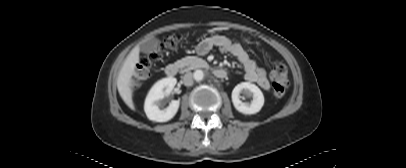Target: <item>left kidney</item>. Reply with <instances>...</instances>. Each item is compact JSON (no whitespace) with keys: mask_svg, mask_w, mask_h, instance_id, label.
<instances>
[{"mask_svg":"<svg viewBox=\"0 0 406 168\" xmlns=\"http://www.w3.org/2000/svg\"><path fill=\"white\" fill-rule=\"evenodd\" d=\"M252 97L251 103L242 102L240 94ZM232 102L237 111L242 114L251 115L258 113L264 105V96L262 91L250 82H242L236 85L232 91Z\"/></svg>","mask_w":406,"mask_h":168,"instance_id":"obj_1","label":"left kidney"}]
</instances>
